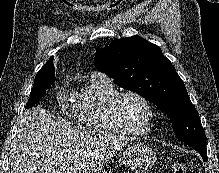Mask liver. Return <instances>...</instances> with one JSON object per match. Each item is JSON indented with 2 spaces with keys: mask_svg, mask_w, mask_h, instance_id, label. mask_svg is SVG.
I'll list each match as a JSON object with an SVG mask.
<instances>
[{
  "mask_svg": "<svg viewBox=\"0 0 219 173\" xmlns=\"http://www.w3.org/2000/svg\"><path fill=\"white\" fill-rule=\"evenodd\" d=\"M125 139L73 127L40 106L24 111L11 145V173H99Z\"/></svg>",
  "mask_w": 219,
  "mask_h": 173,
  "instance_id": "obj_1",
  "label": "liver"
}]
</instances>
